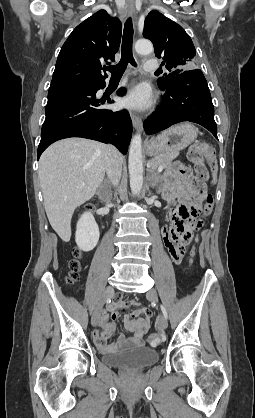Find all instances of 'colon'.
Instances as JSON below:
<instances>
[{"mask_svg":"<svg viewBox=\"0 0 255 418\" xmlns=\"http://www.w3.org/2000/svg\"><path fill=\"white\" fill-rule=\"evenodd\" d=\"M209 152V148L204 143L195 144L189 151V159L193 163L197 176L202 180H208L211 172L213 170L209 167L206 157ZM95 208L93 204H90L86 207V211H92ZM213 208V198L211 195L206 196L204 203V214H209ZM204 222L202 219L198 218V211L191 210L186 218L177 223L174 228H197L200 230ZM195 238V239H194ZM199 242L197 235H194L191 245V250L189 251V263H194V258L196 256V251L198 250ZM188 251V249H187ZM81 251L75 250V258L70 261L69 264V273H68V282L74 284L80 280V271H81ZM161 341V335L158 333H152L149 336V342L152 345H157Z\"/></svg>","mask_w":255,"mask_h":418,"instance_id":"1","label":"colon"}]
</instances>
